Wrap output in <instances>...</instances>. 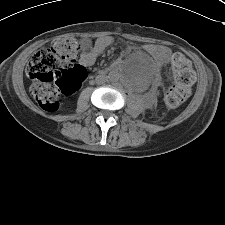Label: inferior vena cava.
Returning <instances> with one entry per match:
<instances>
[{
  "label": "inferior vena cava",
  "mask_w": 225,
  "mask_h": 225,
  "mask_svg": "<svg viewBox=\"0 0 225 225\" xmlns=\"http://www.w3.org/2000/svg\"><path fill=\"white\" fill-rule=\"evenodd\" d=\"M97 83H104L105 82V79L103 77H99L97 78Z\"/></svg>",
  "instance_id": "inferior-vena-cava-1"
}]
</instances>
